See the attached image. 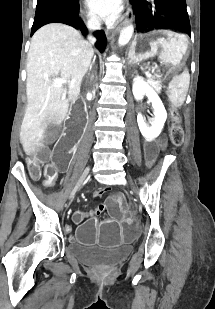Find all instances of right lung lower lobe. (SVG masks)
<instances>
[{
  "instance_id": "1",
  "label": "right lung lower lobe",
  "mask_w": 215,
  "mask_h": 309,
  "mask_svg": "<svg viewBox=\"0 0 215 309\" xmlns=\"http://www.w3.org/2000/svg\"><path fill=\"white\" fill-rule=\"evenodd\" d=\"M52 22H59V23H64V24H68L70 26H73L74 28H81L83 33H87V29L84 26L83 22L81 21V19L79 18L78 14L75 16H67V15H54V16H50V17H46L43 19H40L37 21V26L36 28H32L31 34H34V32L39 29L41 26L48 24V23H52ZM94 35L97 38V42H96V47L103 52L106 46V36L104 34L103 31H96L94 33Z\"/></svg>"
}]
</instances>
